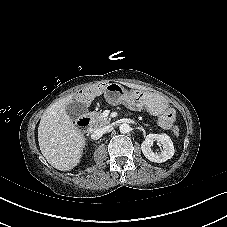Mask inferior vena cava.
I'll return each mask as SVG.
<instances>
[{"label":"inferior vena cava","mask_w":227,"mask_h":227,"mask_svg":"<svg viewBox=\"0 0 227 227\" xmlns=\"http://www.w3.org/2000/svg\"><path fill=\"white\" fill-rule=\"evenodd\" d=\"M108 130H109V126H104L102 128H98L93 131L91 138L94 140H97L100 137H102V135L105 134Z\"/></svg>","instance_id":"602c4592"}]
</instances>
